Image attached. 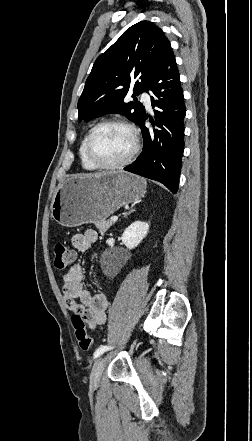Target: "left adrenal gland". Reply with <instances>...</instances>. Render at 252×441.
Segmentation results:
<instances>
[{
  "mask_svg": "<svg viewBox=\"0 0 252 441\" xmlns=\"http://www.w3.org/2000/svg\"><path fill=\"white\" fill-rule=\"evenodd\" d=\"M134 211V209L133 210H131L128 214H130V213H132Z\"/></svg>",
  "mask_w": 252,
  "mask_h": 441,
  "instance_id": "1",
  "label": "left adrenal gland"
}]
</instances>
